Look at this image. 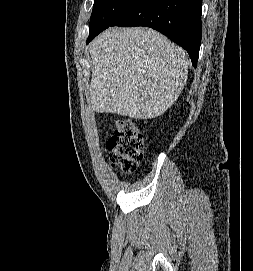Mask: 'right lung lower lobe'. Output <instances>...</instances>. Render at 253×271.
Wrapping results in <instances>:
<instances>
[{
    "label": "right lung lower lobe",
    "instance_id": "98d812e1",
    "mask_svg": "<svg viewBox=\"0 0 253 271\" xmlns=\"http://www.w3.org/2000/svg\"><path fill=\"white\" fill-rule=\"evenodd\" d=\"M202 0H133L110 26L151 27L183 47L196 68L202 37ZM100 32L90 34L89 43Z\"/></svg>",
    "mask_w": 253,
    "mask_h": 271
}]
</instances>
